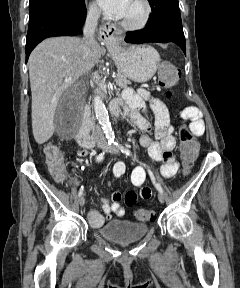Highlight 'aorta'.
Returning <instances> with one entry per match:
<instances>
[{"instance_id": "obj_1", "label": "aorta", "mask_w": 240, "mask_h": 288, "mask_svg": "<svg viewBox=\"0 0 240 288\" xmlns=\"http://www.w3.org/2000/svg\"><path fill=\"white\" fill-rule=\"evenodd\" d=\"M94 111L99 124L101 125L105 136L108 140L114 138V132L112 130L111 122L109 120L108 111L103 103L102 99L99 96H96L94 99Z\"/></svg>"}]
</instances>
